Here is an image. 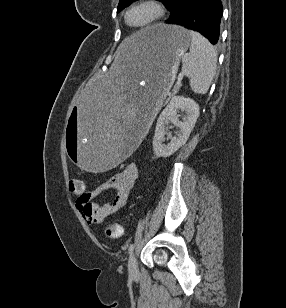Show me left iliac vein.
Returning a JSON list of instances; mask_svg holds the SVG:
<instances>
[{"instance_id": "left-iliac-vein-1", "label": "left iliac vein", "mask_w": 286, "mask_h": 308, "mask_svg": "<svg viewBox=\"0 0 286 308\" xmlns=\"http://www.w3.org/2000/svg\"><path fill=\"white\" fill-rule=\"evenodd\" d=\"M128 271L130 276H136L138 273V265L135 254H131L128 261Z\"/></svg>"}]
</instances>
